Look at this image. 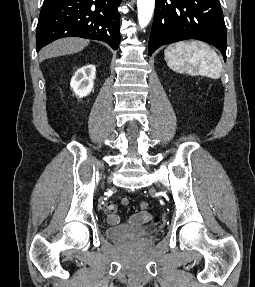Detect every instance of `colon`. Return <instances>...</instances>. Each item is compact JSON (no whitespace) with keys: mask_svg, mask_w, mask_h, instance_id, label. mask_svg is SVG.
<instances>
[{"mask_svg":"<svg viewBox=\"0 0 255 287\" xmlns=\"http://www.w3.org/2000/svg\"><path fill=\"white\" fill-rule=\"evenodd\" d=\"M140 207H141V209L146 210V209H148V207H149V203L146 202V201H142V202L140 203Z\"/></svg>","mask_w":255,"mask_h":287,"instance_id":"1","label":"colon"}]
</instances>
